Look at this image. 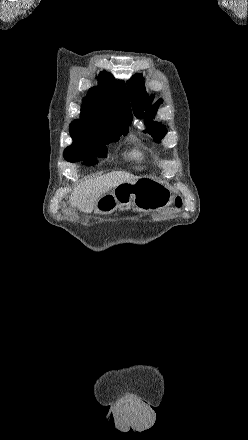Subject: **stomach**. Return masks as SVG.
<instances>
[{
	"label": "stomach",
	"mask_w": 248,
	"mask_h": 440,
	"mask_svg": "<svg viewBox=\"0 0 248 440\" xmlns=\"http://www.w3.org/2000/svg\"><path fill=\"white\" fill-rule=\"evenodd\" d=\"M172 195L169 188L148 177L134 183H122L112 192L104 194L96 203L98 213H112L120 206L133 205L141 211L158 210L169 205Z\"/></svg>",
	"instance_id": "obj_1"
}]
</instances>
